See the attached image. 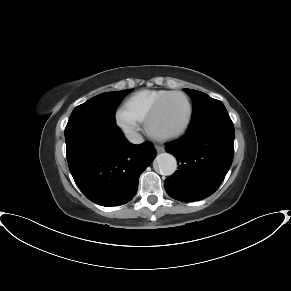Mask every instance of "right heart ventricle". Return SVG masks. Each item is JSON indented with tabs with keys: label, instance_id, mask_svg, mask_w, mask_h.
Listing matches in <instances>:
<instances>
[{
	"label": "right heart ventricle",
	"instance_id": "right-heart-ventricle-1",
	"mask_svg": "<svg viewBox=\"0 0 291 291\" xmlns=\"http://www.w3.org/2000/svg\"><path fill=\"white\" fill-rule=\"evenodd\" d=\"M167 90H142L132 94L124 103V108L139 121L145 120L155 103Z\"/></svg>",
	"mask_w": 291,
	"mask_h": 291
}]
</instances>
